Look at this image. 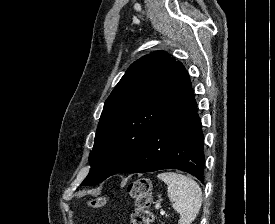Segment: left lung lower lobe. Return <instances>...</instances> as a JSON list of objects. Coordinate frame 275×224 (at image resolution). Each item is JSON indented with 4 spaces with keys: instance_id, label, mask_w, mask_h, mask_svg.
Returning <instances> with one entry per match:
<instances>
[{
    "instance_id": "1",
    "label": "left lung lower lobe",
    "mask_w": 275,
    "mask_h": 224,
    "mask_svg": "<svg viewBox=\"0 0 275 224\" xmlns=\"http://www.w3.org/2000/svg\"><path fill=\"white\" fill-rule=\"evenodd\" d=\"M194 97L190 88L172 106L149 135L127 172L179 169L203 183L204 134Z\"/></svg>"
}]
</instances>
